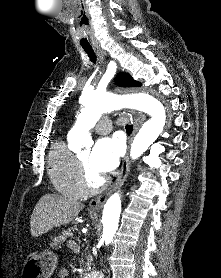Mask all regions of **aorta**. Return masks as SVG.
<instances>
[{
	"instance_id": "1",
	"label": "aorta",
	"mask_w": 221,
	"mask_h": 278,
	"mask_svg": "<svg viewBox=\"0 0 221 278\" xmlns=\"http://www.w3.org/2000/svg\"><path fill=\"white\" fill-rule=\"evenodd\" d=\"M121 106L131 107L151 116V119L143 124L131 145V158H139L159 137L166 120L164 106L157 99L147 94L132 96L124 103H119L117 98L109 93L93 91L84 95L83 108L70 131V142L81 146L87 145L91 141L89 131L95 126L101 115ZM120 213L121 197L119 193H114L107 200L103 209L101 240L106 245L111 243L118 229Z\"/></svg>"
}]
</instances>
